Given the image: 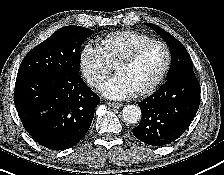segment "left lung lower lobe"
Masks as SVG:
<instances>
[{
	"instance_id": "0a47b994",
	"label": "left lung lower lobe",
	"mask_w": 224,
	"mask_h": 175,
	"mask_svg": "<svg viewBox=\"0 0 224 175\" xmlns=\"http://www.w3.org/2000/svg\"><path fill=\"white\" fill-rule=\"evenodd\" d=\"M199 104L200 84L193 70L179 71L167 77L156 93L138 103L142 119L132 132L148 145L169 144L188 128Z\"/></svg>"
}]
</instances>
